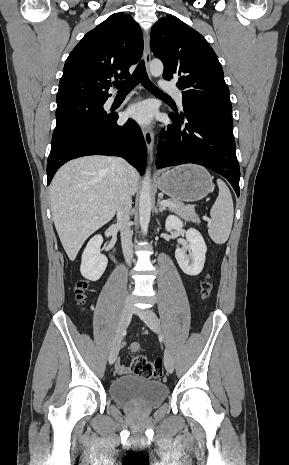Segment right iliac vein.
<instances>
[{"instance_id": "right-iliac-vein-1", "label": "right iliac vein", "mask_w": 289, "mask_h": 465, "mask_svg": "<svg viewBox=\"0 0 289 465\" xmlns=\"http://www.w3.org/2000/svg\"><path fill=\"white\" fill-rule=\"evenodd\" d=\"M133 311H134V309H133L132 303L129 302V301L126 302L124 307H123V310H122V314H121V318H120V322H119V326H118L116 336L114 338V341L112 343V346H111V349H110V352H109V363L110 364H113L115 362L117 356H118L122 336H123L127 326L129 325V322H130V320L132 318Z\"/></svg>"}]
</instances>
